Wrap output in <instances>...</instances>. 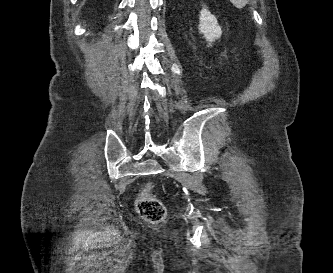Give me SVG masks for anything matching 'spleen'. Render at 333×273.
I'll use <instances>...</instances> for the list:
<instances>
[{"label": "spleen", "mask_w": 333, "mask_h": 273, "mask_svg": "<svg viewBox=\"0 0 333 273\" xmlns=\"http://www.w3.org/2000/svg\"><path fill=\"white\" fill-rule=\"evenodd\" d=\"M230 2L238 9H241L247 4L248 0H230Z\"/></svg>", "instance_id": "1"}]
</instances>
